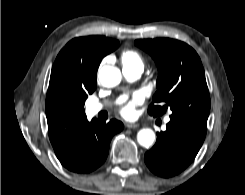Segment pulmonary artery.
<instances>
[{
  "mask_svg": "<svg viewBox=\"0 0 245 195\" xmlns=\"http://www.w3.org/2000/svg\"><path fill=\"white\" fill-rule=\"evenodd\" d=\"M122 72L124 77L128 81H135L141 76L143 72V68L140 66H126L123 67ZM104 106L105 104L103 103H91L88 107V110L91 114L95 115L101 110H103ZM169 120H170L169 117L165 119L166 122H169Z\"/></svg>",
  "mask_w": 245,
  "mask_h": 195,
  "instance_id": "1",
  "label": "pulmonary artery"
}]
</instances>
